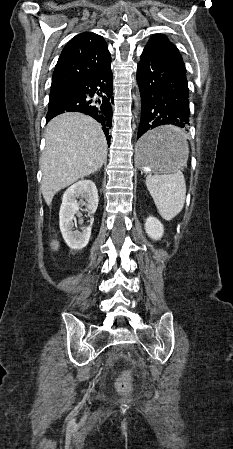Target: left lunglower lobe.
<instances>
[{
    "instance_id": "0a47b994",
    "label": "left lung lower lobe",
    "mask_w": 233,
    "mask_h": 449,
    "mask_svg": "<svg viewBox=\"0 0 233 449\" xmlns=\"http://www.w3.org/2000/svg\"><path fill=\"white\" fill-rule=\"evenodd\" d=\"M141 95V119L137 138L143 151L177 146V135H152V129L165 124L189 125V89L186 71L144 48L137 67Z\"/></svg>"
}]
</instances>
